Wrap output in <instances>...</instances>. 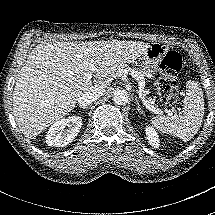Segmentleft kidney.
I'll list each match as a JSON object with an SVG mask.
<instances>
[{"label": "left kidney", "instance_id": "5707ae66", "mask_svg": "<svg viewBox=\"0 0 215 215\" xmlns=\"http://www.w3.org/2000/svg\"><path fill=\"white\" fill-rule=\"evenodd\" d=\"M146 136H147V140L149 141L152 147L154 148L158 147L159 139L153 128L151 127L146 128Z\"/></svg>", "mask_w": 215, "mask_h": 215}]
</instances>
